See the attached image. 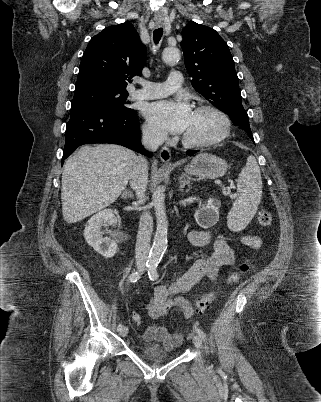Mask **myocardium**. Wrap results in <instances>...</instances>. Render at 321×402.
Listing matches in <instances>:
<instances>
[{"instance_id":"myocardium-1","label":"myocardium","mask_w":321,"mask_h":402,"mask_svg":"<svg viewBox=\"0 0 321 402\" xmlns=\"http://www.w3.org/2000/svg\"><path fill=\"white\" fill-rule=\"evenodd\" d=\"M194 111H211L217 114L222 121L223 127L218 136L209 140H193L183 135L182 142L184 145L193 148H206L221 143L229 136L231 132V120L229 116L222 109L211 104H201L196 106L194 108Z\"/></svg>"}]
</instances>
